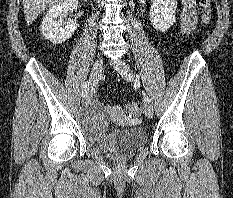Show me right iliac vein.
I'll return each instance as SVG.
<instances>
[{
  "instance_id": "63e3f726",
  "label": "right iliac vein",
  "mask_w": 233,
  "mask_h": 198,
  "mask_svg": "<svg viewBox=\"0 0 233 198\" xmlns=\"http://www.w3.org/2000/svg\"><path fill=\"white\" fill-rule=\"evenodd\" d=\"M102 69H103V58L99 57L91 69L90 79H89V82H90L89 87H88L87 93L85 94V96L83 98V105L84 106L89 105L91 100H92L93 91H94V88L98 82L99 76L102 73Z\"/></svg>"
}]
</instances>
